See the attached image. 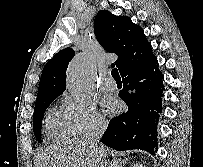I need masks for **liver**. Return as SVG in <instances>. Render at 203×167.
Listing matches in <instances>:
<instances>
[{
  "instance_id": "obj_1",
  "label": "liver",
  "mask_w": 203,
  "mask_h": 167,
  "mask_svg": "<svg viewBox=\"0 0 203 167\" xmlns=\"http://www.w3.org/2000/svg\"><path fill=\"white\" fill-rule=\"evenodd\" d=\"M107 156L105 147H103L102 160L98 151L84 139L66 140L41 151L36 158L35 167H102V161L104 167H107ZM114 163L115 161L111 164Z\"/></svg>"
}]
</instances>
